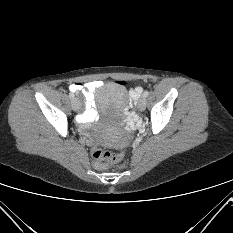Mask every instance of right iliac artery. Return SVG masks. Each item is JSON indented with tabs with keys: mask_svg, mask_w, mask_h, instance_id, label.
I'll list each match as a JSON object with an SVG mask.
<instances>
[{
	"mask_svg": "<svg viewBox=\"0 0 233 233\" xmlns=\"http://www.w3.org/2000/svg\"><path fill=\"white\" fill-rule=\"evenodd\" d=\"M69 97L71 98V99H74V94L73 93H69Z\"/></svg>",
	"mask_w": 233,
	"mask_h": 233,
	"instance_id": "1",
	"label": "right iliac artery"
}]
</instances>
